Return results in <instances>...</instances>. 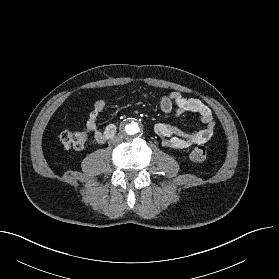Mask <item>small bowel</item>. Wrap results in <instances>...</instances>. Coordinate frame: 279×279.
Segmentation results:
<instances>
[{"mask_svg": "<svg viewBox=\"0 0 279 279\" xmlns=\"http://www.w3.org/2000/svg\"><path fill=\"white\" fill-rule=\"evenodd\" d=\"M107 106L108 101L106 99L97 100L86 121L87 128L93 132L98 143L106 141V130L102 131L99 118ZM160 108L167 115L180 116L188 112L197 113L205 125L199 131L184 133L169 123H157L154 128L155 133L163 140L166 147L174 150L187 149L195 145L205 144L213 137L215 130L213 114L201 100L185 97L181 92L176 91L160 97Z\"/></svg>", "mask_w": 279, "mask_h": 279, "instance_id": "c3829d8e", "label": "small bowel"}]
</instances>
